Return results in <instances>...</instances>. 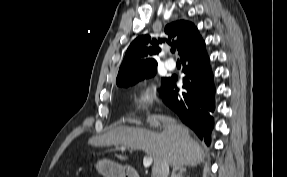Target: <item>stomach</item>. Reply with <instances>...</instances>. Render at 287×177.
I'll return each mask as SVG.
<instances>
[{
    "mask_svg": "<svg viewBox=\"0 0 287 177\" xmlns=\"http://www.w3.org/2000/svg\"><path fill=\"white\" fill-rule=\"evenodd\" d=\"M96 169L104 177H126L129 174L125 166L106 159L99 160Z\"/></svg>",
    "mask_w": 287,
    "mask_h": 177,
    "instance_id": "stomach-1",
    "label": "stomach"
}]
</instances>
